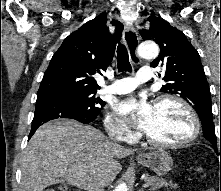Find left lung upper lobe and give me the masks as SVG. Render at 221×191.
<instances>
[{
	"instance_id": "5c2ea615",
	"label": "left lung upper lobe",
	"mask_w": 221,
	"mask_h": 191,
	"mask_svg": "<svg viewBox=\"0 0 221 191\" xmlns=\"http://www.w3.org/2000/svg\"><path fill=\"white\" fill-rule=\"evenodd\" d=\"M148 20L149 30L143 29L140 34L144 40L155 41L161 49L151 62L152 67L165 69L163 80L166 84L161 91L180 95L194 107L201 119L205 139L217 150L219 141L215 135L211 94L197 50L182 31L163 18L151 15Z\"/></svg>"
}]
</instances>
